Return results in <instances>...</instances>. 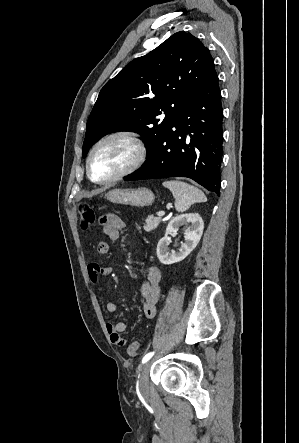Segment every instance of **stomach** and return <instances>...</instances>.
Wrapping results in <instances>:
<instances>
[{
    "label": "stomach",
    "instance_id": "0dacf381",
    "mask_svg": "<svg viewBox=\"0 0 299 443\" xmlns=\"http://www.w3.org/2000/svg\"><path fill=\"white\" fill-rule=\"evenodd\" d=\"M107 200L116 204L137 207L149 206L154 201V194L147 188L113 189L106 194Z\"/></svg>",
    "mask_w": 299,
    "mask_h": 443
}]
</instances>
